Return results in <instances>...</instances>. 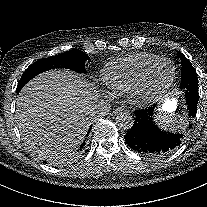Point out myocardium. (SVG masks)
<instances>
[{"label":"myocardium","instance_id":"obj_1","mask_svg":"<svg viewBox=\"0 0 207 207\" xmlns=\"http://www.w3.org/2000/svg\"><path fill=\"white\" fill-rule=\"evenodd\" d=\"M168 62L173 66V73L167 85L158 92H152L149 88L150 74L162 63ZM177 68L175 62L170 58H159L153 62L142 74L139 84L134 87L127 95L129 102L136 108H142L148 104L157 102L166 98L175 83Z\"/></svg>","mask_w":207,"mask_h":207}]
</instances>
